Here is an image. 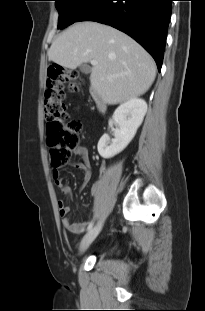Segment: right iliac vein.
I'll return each mask as SVG.
<instances>
[{"mask_svg": "<svg viewBox=\"0 0 205 311\" xmlns=\"http://www.w3.org/2000/svg\"><path fill=\"white\" fill-rule=\"evenodd\" d=\"M104 225V218L100 219L97 224L89 231V233L82 239L80 244V252H84L91 243L96 239Z\"/></svg>", "mask_w": 205, "mask_h": 311, "instance_id": "obj_1", "label": "right iliac vein"}]
</instances>
